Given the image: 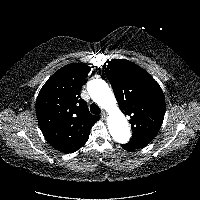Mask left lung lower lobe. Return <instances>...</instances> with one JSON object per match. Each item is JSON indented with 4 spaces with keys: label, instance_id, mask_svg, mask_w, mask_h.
<instances>
[{
    "label": "left lung lower lobe",
    "instance_id": "obj_1",
    "mask_svg": "<svg viewBox=\"0 0 200 200\" xmlns=\"http://www.w3.org/2000/svg\"><path fill=\"white\" fill-rule=\"evenodd\" d=\"M122 147H123L125 150L132 151L131 148H130L128 145H126V144L122 145Z\"/></svg>",
    "mask_w": 200,
    "mask_h": 200
}]
</instances>
